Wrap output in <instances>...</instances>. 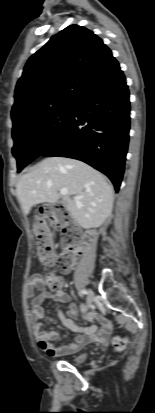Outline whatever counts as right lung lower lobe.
Here are the masks:
<instances>
[{"label":"right lung lower lobe","mask_w":155,"mask_h":413,"mask_svg":"<svg viewBox=\"0 0 155 413\" xmlns=\"http://www.w3.org/2000/svg\"><path fill=\"white\" fill-rule=\"evenodd\" d=\"M130 102L120 67L86 91L60 137L40 156L81 160L101 171L118 192L129 143Z\"/></svg>","instance_id":"98d812e1"}]
</instances>
